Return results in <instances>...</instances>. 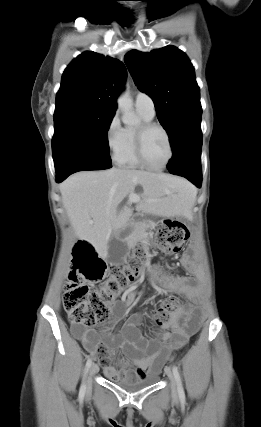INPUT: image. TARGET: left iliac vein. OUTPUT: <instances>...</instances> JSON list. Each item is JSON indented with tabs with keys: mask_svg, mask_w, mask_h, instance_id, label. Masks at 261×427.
Here are the masks:
<instances>
[{
	"mask_svg": "<svg viewBox=\"0 0 261 427\" xmlns=\"http://www.w3.org/2000/svg\"><path fill=\"white\" fill-rule=\"evenodd\" d=\"M165 373L168 376V378L171 381V391H172V395L174 397L177 396V386H176V379L175 376L173 374V372L170 369H165Z\"/></svg>",
	"mask_w": 261,
	"mask_h": 427,
	"instance_id": "obj_1",
	"label": "left iliac vein"
}]
</instances>
